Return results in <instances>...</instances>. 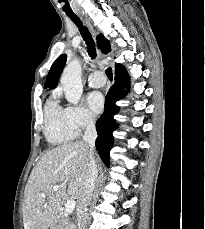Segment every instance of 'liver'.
<instances>
[{"instance_id": "obj_1", "label": "liver", "mask_w": 205, "mask_h": 229, "mask_svg": "<svg viewBox=\"0 0 205 229\" xmlns=\"http://www.w3.org/2000/svg\"><path fill=\"white\" fill-rule=\"evenodd\" d=\"M93 157L97 167L99 159L94 153ZM88 159L89 146L84 142L63 144L43 154L24 191L25 229H48L65 200L75 198L80 201ZM59 183L61 188L52 192V187Z\"/></svg>"}]
</instances>
